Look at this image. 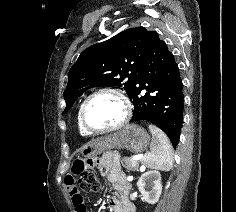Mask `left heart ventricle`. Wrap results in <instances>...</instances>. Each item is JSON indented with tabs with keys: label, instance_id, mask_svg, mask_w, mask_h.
<instances>
[{
	"label": "left heart ventricle",
	"instance_id": "b2bd125f",
	"mask_svg": "<svg viewBox=\"0 0 236 212\" xmlns=\"http://www.w3.org/2000/svg\"><path fill=\"white\" fill-rule=\"evenodd\" d=\"M123 116L121 101L112 94H100L87 105L85 118L94 129H102L117 124Z\"/></svg>",
	"mask_w": 236,
	"mask_h": 212
}]
</instances>
